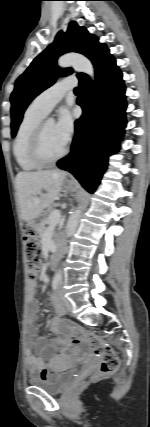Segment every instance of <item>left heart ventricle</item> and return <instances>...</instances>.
Masks as SVG:
<instances>
[{
	"instance_id": "1",
	"label": "left heart ventricle",
	"mask_w": 150,
	"mask_h": 427,
	"mask_svg": "<svg viewBox=\"0 0 150 427\" xmlns=\"http://www.w3.org/2000/svg\"><path fill=\"white\" fill-rule=\"evenodd\" d=\"M64 148L65 146L61 143L55 132V125L46 123L42 139L43 154L47 158H53L59 155Z\"/></svg>"
}]
</instances>
